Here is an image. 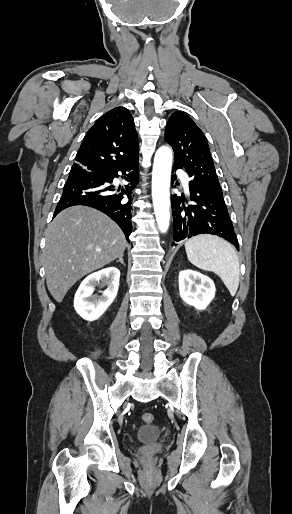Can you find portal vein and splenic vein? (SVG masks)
Here are the masks:
<instances>
[{
    "label": "portal vein and splenic vein",
    "mask_w": 292,
    "mask_h": 514,
    "mask_svg": "<svg viewBox=\"0 0 292 514\" xmlns=\"http://www.w3.org/2000/svg\"><path fill=\"white\" fill-rule=\"evenodd\" d=\"M96 252H101V250H96Z\"/></svg>",
    "instance_id": "portal-vein-and-splenic-vein-1"
}]
</instances>
